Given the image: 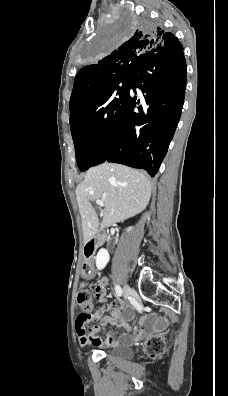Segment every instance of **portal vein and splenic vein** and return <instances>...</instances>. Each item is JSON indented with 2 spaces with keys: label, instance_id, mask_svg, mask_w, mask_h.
I'll use <instances>...</instances> for the list:
<instances>
[{
  "label": "portal vein and splenic vein",
  "instance_id": "18ae733b",
  "mask_svg": "<svg viewBox=\"0 0 228 396\" xmlns=\"http://www.w3.org/2000/svg\"><path fill=\"white\" fill-rule=\"evenodd\" d=\"M96 204L100 207H104V203L102 200H96Z\"/></svg>",
  "mask_w": 228,
  "mask_h": 396
}]
</instances>
